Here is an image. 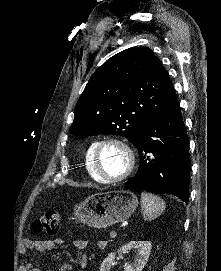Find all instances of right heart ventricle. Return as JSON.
Instances as JSON below:
<instances>
[{"instance_id":"e07e8e85","label":"right heart ventricle","mask_w":221,"mask_h":271,"mask_svg":"<svg viewBox=\"0 0 221 271\" xmlns=\"http://www.w3.org/2000/svg\"><path fill=\"white\" fill-rule=\"evenodd\" d=\"M94 140H90L85 147V151H84V157L85 159H87V163L86 164V172H88V175L91 177V179H96L97 183H107L108 179L107 178H103L102 174H99L98 171H96V167H99V162H97V158H94V154L93 152H95L96 150V144H92Z\"/></svg>"}]
</instances>
